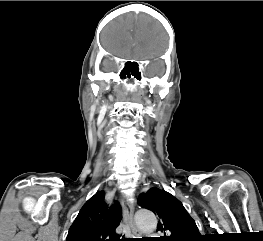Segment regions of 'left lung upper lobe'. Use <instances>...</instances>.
<instances>
[{"label":"left lung upper lobe","mask_w":263,"mask_h":241,"mask_svg":"<svg viewBox=\"0 0 263 241\" xmlns=\"http://www.w3.org/2000/svg\"><path fill=\"white\" fill-rule=\"evenodd\" d=\"M138 203L158 216L157 231L164 237L156 241H202L195 221L185 210L183 204L172 194L156 187L139 196Z\"/></svg>","instance_id":"1"}]
</instances>
